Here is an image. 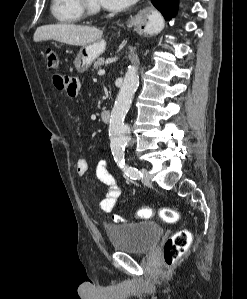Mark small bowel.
I'll use <instances>...</instances> for the list:
<instances>
[{"instance_id": "small-bowel-1", "label": "small bowel", "mask_w": 247, "mask_h": 299, "mask_svg": "<svg viewBox=\"0 0 247 299\" xmlns=\"http://www.w3.org/2000/svg\"><path fill=\"white\" fill-rule=\"evenodd\" d=\"M53 83L55 87L64 91L67 96L74 99L78 95L79 80L65 75H54ZM89 170V165L86 159L79 158L76 162V171L79 175H85ZM96 175L98 179L106 186L107 192L104 198L99 202L100 209L105 213H110L116 206V203L121 195V188L116 178L108 169L107 162L100 160L96 166ZM116 220H119L118 218Z\"/></svg>"}]
</instances>
